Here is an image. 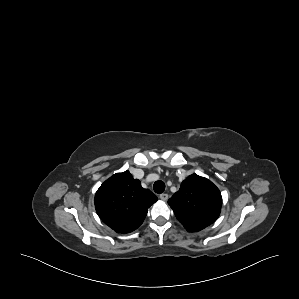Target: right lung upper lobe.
<instances>
[{
    "label": "right lung upper lobe",
    "instance_id": "cb5924a9",
    "mask_svg": "<svg viewBox=\"0 0 299 299\" xmlns=\"http://www.w3.org/2000/svg\"><path fill=\"white\" fill-rule=\"evenodd\" d=\"M157 197L141 186L129 171L114 174L95 195V208L102 221L118 233H129L144 221Z\"/></svg>",
    "mask_w": 299,
    "mask_h": 299
}]
</instances>
